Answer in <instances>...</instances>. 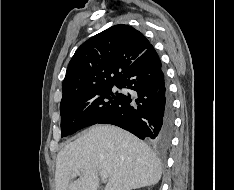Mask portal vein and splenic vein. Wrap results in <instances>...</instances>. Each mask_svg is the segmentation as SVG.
Returning <instances> with one entry per match:
<instances>
[{"label":"portal vein and splenic vein","instance_id":"obj_1","mask_svg":"<svg viewBox=\"0 0 234 190\" xmlns=\"http://www.w3.org/2000/svg\"><path fill=\"white\" fill-rule=\"evenodd\" d=\"M75 175H79L80 174V171H75L74 172ZM100 176L103 180H106L108 178V174L105 172V171H101L100 172Z\"/></svg>","mask_w":234,"mask_h":190}]
</instances>
